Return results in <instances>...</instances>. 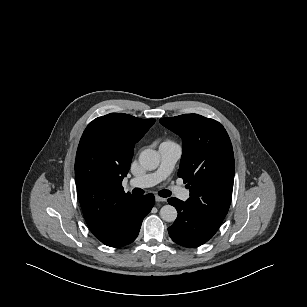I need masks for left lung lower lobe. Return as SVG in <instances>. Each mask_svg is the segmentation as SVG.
Wrapping results in <instances>:
<instances>
[{
  "label": "left lung lower lobe",
  "mask_w": 307,
  "mask_h": 307,
  "mask_svg": "<svg viewBox=\"0 0 307 307\" xmlns=\"http://www.w3.org/2000/svg\"><path fill=\"white\" fill-rule=\"evenodd\" d=\"M168 203L178 211V217L168 232L172 240L181 246L198 247L212 238L219 228L196 215L177 198L168 199Z\"/></svg>",
  "instance_id": "0a47b994"
}]
</instances>
